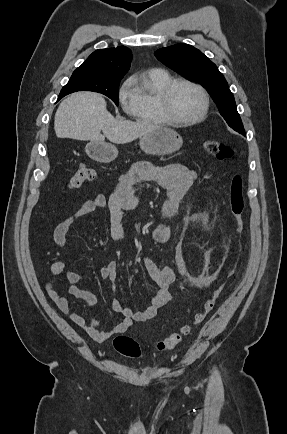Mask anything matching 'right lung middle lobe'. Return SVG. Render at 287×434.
I'll return each mask as SVG.
<instances>
[{
    "label": "right lung middle lobe",
    "instance_id": "obj_1",
    "mask_svg": "<svg viewBox=\"0 0 287 434\" xmlns=\"http://www.w3.org/2000/svg\"><path fill=\"white\" fill-rule=\"evenodd\" d=\"M120 81L121 79H108L73 73L68 83L62 88L58 100L76 91H93L106 95L118 106Z\"/></svg>",
    "mask_w": 287,
    "mask_h": 434
}]
</instances>
